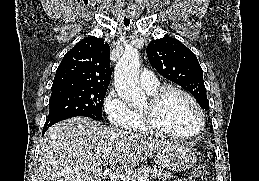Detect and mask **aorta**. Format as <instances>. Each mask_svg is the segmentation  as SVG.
I'll list each match as a JSON object with an SVG mask.
<instances>
[{"label":"aorta","instance_id":"1","mask_svg":"<svg viewBox=\"0 0 259 181\" xmlns=\"http://www.w3.org/2000/svg\"><path fill=\"white\" fill-rule=\"evenodd\" d=\"M139 67V51L134 48L126 49L115 66L117 93L130 108L141 107L146 102V95L139 86Z\"/></svg>","mask_w":259,"mask_h":181}]
</instances>
